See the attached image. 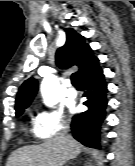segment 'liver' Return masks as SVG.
Returning <instances> with one entry per match:
<instances>
[{
	"instance_id": "6515ba94",
	"label": "liver",
	"mask_w": 135,
	"mask_h": 166,
	"mask_svg": "<svg viewBox=\"0 0 135 166\" xmlns=\"http://www.w3.org/2000/svg\"><path fill=\"white\" fill-rule=\"evenodd\" d=\"M81 144L71 136H57L40 145L24 146L15 150L6 166H62L76 157Z\"/></svg>"
}]
</instances>
